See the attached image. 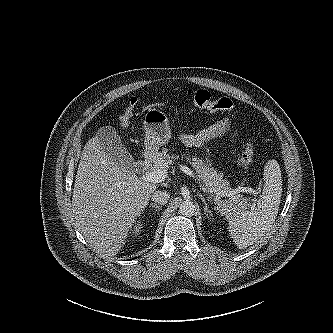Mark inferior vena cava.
Returning a JSON list of instances; mask_svg holds the SVG:
<instances>
[{"instance_id": "602c4592", "label": "inferior vena cava", "mask_w": 333, "mask_h": 333, "mask_svg": "<svg viewBox=\"0 0 333 333\" xmlns=\"http://www.w3.org/2000/svg\"><path fill=\"white\" fill-rule=\"evenodd\" d=\"M170 198V195L168 192L166 191H155L153 194H152V200L155 202V203H159V204H166L168 202Z\"/></svg>"}]
</instances>
